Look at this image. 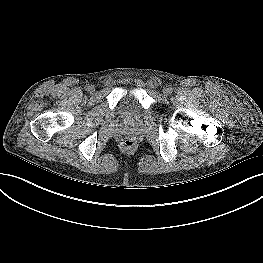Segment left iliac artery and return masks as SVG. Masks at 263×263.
<instances>
[{
    "label": "left iliac artery",
    "instance_id": "44dca946",
    "mask_svg": "<svg viewBox=\"0 0 263 263\" xmlns=\"http://www.w3.org/2000/svg\"><path fill=\"white\" fill-rule=\"evenodd\" d=\"M168 89H169L170 93H172L173 89L171 87H169Z\"/></svg>",
    "mask_w": 263,
    "mask_h": 263
}]
</instances>
